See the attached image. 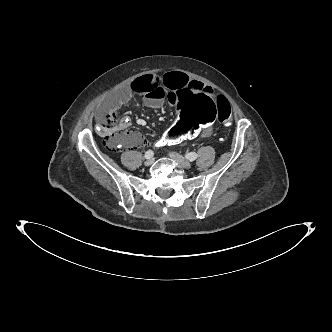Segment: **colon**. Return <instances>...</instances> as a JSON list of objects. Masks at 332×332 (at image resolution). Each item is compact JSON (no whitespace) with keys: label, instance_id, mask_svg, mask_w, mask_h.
Wrapping results in <instances>:
<instances>
[{"label":"colon","instance_id":"5ec220e1","mask_svg":"<svg viewBox=\"0 0 332 332\" xmlns=\"http://www.w3.org/2000/svg\"><path fill=\"white\" fill-rule=\"evenodd\" d=\"M214 107L205 96L195 95L188 98L180 106L179 114L174 119L171 129L158 140H154L153 146L159 147L166 143L177 144L180 142V138L190 139L201 135L206 131L214 116L221 125L229 127L232 114L228 101L217 96ZM118 112V108L112 109L103 118L106 132L104 143L106 148L112 152L117 151L123 144L122 137L115 127Z\"/></svg>","mask_w":332,"mask_h":332}]
</instances>
